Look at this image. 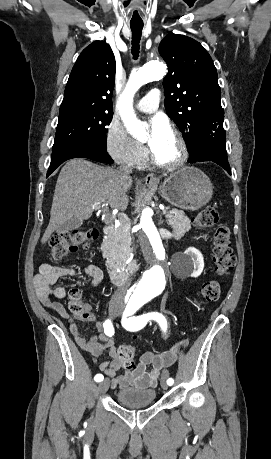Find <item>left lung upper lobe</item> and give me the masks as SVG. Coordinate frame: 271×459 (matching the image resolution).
Wrapping results in <instances>:
<instances>
[{
	"label": "left lung upper lobe",
	"instance_id": "5c2ea615",
	"mask_svg": "<svg viewBox=\"0 0 271 459\" xmlns=\"http://www.w3.org/2000/svg\"><path fill=\"white\" fill-rule=\"evenodd\" d=\"M169 72L163 80L165 107L183 133L190 158L200 149V135L223 121L217 71L208 52L192 38L169 33L159 44Z\"/></svg>",
	"mask_w": 271,
	"mask_h": 459
}]
</instances>
